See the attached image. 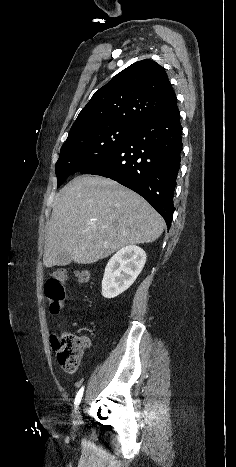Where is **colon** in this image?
Segmentation results:
<instances>
[{
	"label": "colon",
	"instance_id": "obj_1",
	"mask_svg": "<svg viewBox=\"0 0 236 467\" xmlns=\"http://www.w3.org/2000/svg\"><path fill=\"white\" fill-rule=\"evenodd\" d=\"M71 274L78 283L83 284L88 281L89 272L87 269L76 268L71 271ZM67 278L68 271L60 268L45 283L44 292L52 314L59 313L64 306V282ZM86 344L87 339L85 337H80L68 331L53 336L52 346L57 354V361L64 371L75 372L77 370Z\"/></svg>",
	"mask_w": 236,
	"mask_h": 467
}]
</instances>
